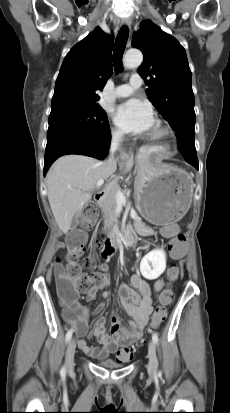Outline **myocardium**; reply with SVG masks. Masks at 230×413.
Masks as SVG:
<instances>
[{"label": "myocardium", "mask_w": 230, "mask_h": 413, "mask_svg": "<svg viewBox=\"0 0 230 413\" xmlns=\"http://www.w3.org/2000/svg\"><path fill=\"white\" fill-rule=\"evenodd\" d=\"M167 135V130L161 125L159 121L156 122L155 128L151 134V140L158 141Z\"/></svg>", "instance_id": "1"}]
</instances>
